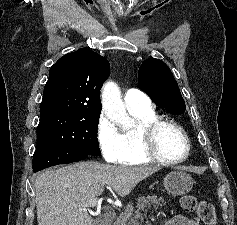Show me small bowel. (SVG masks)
Instances as JSON below:
<instances>
[{
    "label": "small bowel",
    "instance_id": "obj_1",
    "mask_svg": "<svg viewBox=\"0 0 237 225\" xmlns=\"http://www.w3.org/2000/svg\"><path fill=\"white\" fill-rule=\"evenodd\" d=\"M166 225H199L196 219L189 218L183 215H176L170 218Z\"/></svg>",
    "mask_w": 237,
    "mask_h": 225
}]
</instances>
